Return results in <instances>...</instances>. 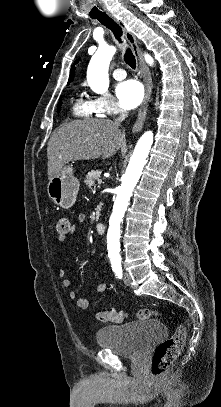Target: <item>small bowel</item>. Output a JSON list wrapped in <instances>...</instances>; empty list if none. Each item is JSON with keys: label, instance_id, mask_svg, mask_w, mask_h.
<instances>
[{"label": "small bowel", "instance_id": "obj_1", "mask_svg": "<svg viewBox=\"0 0 221 407\" xmlns=\"http://www.w3.org/2000/svg\"><path fill=\"white\" fill-rule=\"evenodd\" d=\"M77 222L79 225H83L86 222V217L84 214H80L77 218ZM75 232V228H73L69 234H73ZM68 238V235L66 236H59L57 238V242L61 243L64 242ZM59 276L61 277V284L65 289H69L71 287V282L69 279L65 277V270L60 269L59 270ZM107 289V284L104 282H101L97 285V292L98 293H103ZM69 298L72 300H76V306L78 309L81 310H86L89 307V302L88 300L84 298H78L77 293L75 291H70L68 294Z\"/></svg>", "mask_w": 221, "mask_h": 407}]
</instances>
